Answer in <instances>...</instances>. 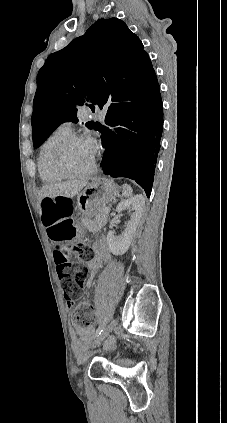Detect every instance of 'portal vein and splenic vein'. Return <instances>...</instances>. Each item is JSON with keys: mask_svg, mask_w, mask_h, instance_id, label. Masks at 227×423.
<instances>
[{"mask_svg": "<svg viewBox=\"0 0 227 423\" xmlns=\"http://www.w3.org/2000/svg\"><path fill=\"white\" fill-rule=\"evenodd\" d=\"M105 211H110V208H105Z\"/></svg>", "mask_w": 227, "mask_h": 423, "instance_id": "1", "label": "portal vein and splenic vein"}]
</instances>
